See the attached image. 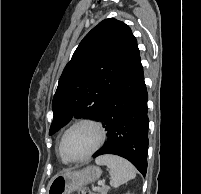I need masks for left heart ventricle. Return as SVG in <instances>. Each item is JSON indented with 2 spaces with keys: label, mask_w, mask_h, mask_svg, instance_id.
<instances>
[{
  "label": "left heart ventricle",
  "mask_w": 201,
  "mask_h": 194,
  "mask_svg": "<svg viewBox=\"0 0 201 194\" xmlns=\"http://www.w3.org/2000/svg\"><path fill=\"white\" fill-rule=\"evenodd\" d=\"M97 133L90 126H78L67 133L62 151L68 158H79L87 154L96 144Z\"/></svg>",
  "instance_id": "1"
}]
</instances>
